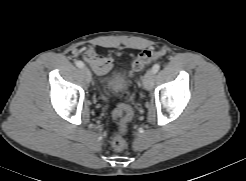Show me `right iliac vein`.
Here are the masks:
<instances>
[{
  "label": "right iliac vein",
  "mask_w": 246,
  "mask_h": 181,
  "mask_svg": "<svg viewBox=\"0 0 246 181\" xmlns=\"http://www.w3.org/2000/svg\"><path fill=\"white\" fill-rule=\"evenodd\" d=\"M82 72L84 73V75L90 79L91 78V72L89 71V69L87 67H82Z\"/></svg>",
  "instance_id": "63e3f726"
}]
</instances>
